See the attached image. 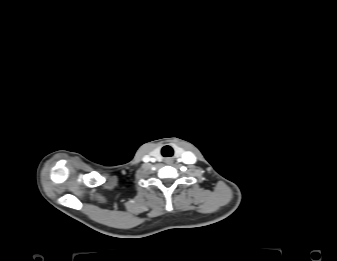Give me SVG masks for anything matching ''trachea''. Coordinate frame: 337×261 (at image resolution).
<instances>
[{
  "label": "trachea",
  "mask_w": 337,
  "mask_h": 261,
  "mask_svg": "<svg viewBox=\"0 0 337 261\" xmlns=\"http://www.w3.org/2000/svg\"><path fill=\"white\" fill-rule=\"evenodd\" d=\"M173 149L171 146H164L161 150V154L164 156V157H171L173 156Z\"/></svg>",
  "instance_id": "obj_1"
}]
</instances>
